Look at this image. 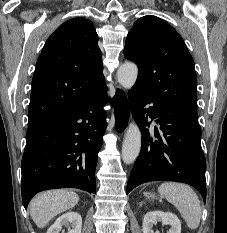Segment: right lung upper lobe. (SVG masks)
<instances>
[{"label":"right lung upper lobe","instance_id":"1","mask_svg":"<svg viewBox=\"0 0 227 233\" xmlns=\"http://www.w3.org/2000/svg\"><path fill=\"white\" fill-rule=\"evenodd\" d=\"M98 35L79 17L58 27L45 43L32 80L29 125L76 105L105 86Z\"/></svg>","mask_w":227,"mask_h":233}]
</instances>
